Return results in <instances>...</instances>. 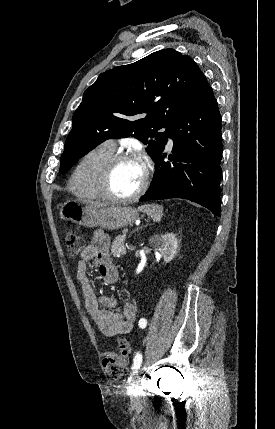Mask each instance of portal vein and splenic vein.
Returning a JSON list of instances; mask_svg holds the SVG:
<instances>
[{"mask_svg":"<svg viewBox=\"0 0 275 429\" xmlns=\"http://www.w3.org/2000/svg\"><path fill=\"white\" fill-rule=\"evenodd\" d=\"M125 236H126V234L124 233V234H123V237L125 238Z\"/></svg>","mask_w":275,"mask_h":429,"instance_id":"portal-vein-and-splenic-vein-1","label":"portal vein and splenic vein"}]
</instances>
